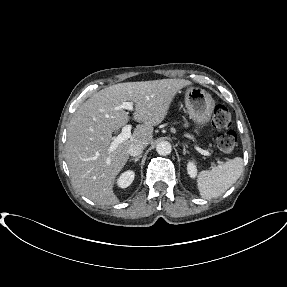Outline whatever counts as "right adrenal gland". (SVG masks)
Here are the masks:
<instances>
[{
  "mask_svg": "<svg viewBox=\"0 0 287 287\" xmlns=\"http://www.w3.org/2000/svg\"><path fill=\"white\" fill-rule=\"evenodd\" d=\"M140 158H141V155H139L138 157L129 159V162L134 161L136 163Z\"/></svg>",
  "mask_w": 287,
  "mask_h": 287,
  "instance_id": "obj_1",
  "label": "right adrenal gland"
}]
</instances>
